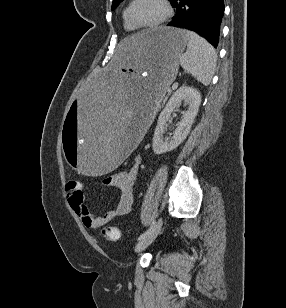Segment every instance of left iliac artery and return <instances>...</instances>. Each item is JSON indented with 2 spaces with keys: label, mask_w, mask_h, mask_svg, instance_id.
Masks as SVG:
<instances>
[{
  "label": "left iliac artery",
  "mask_w": 286,
  "mask_h": 308,
  "mask_svg": "<svg viewBox=\"0 0 286 308\" xmlns=\"http://www.w3.org/2000/svg\"><path fill=\"white\" fill-rule=\"evenodd\" d=\"M155 223H156V222L153 221L152 224H151V226H150L146 231H144V233H142V234L139 236L138 240H141V239H143L144 237H146V236L150 233V231L153 229Z\"/></svg>",
  "instance_id": "left-iliac-artery-1"
}]
</instances>
